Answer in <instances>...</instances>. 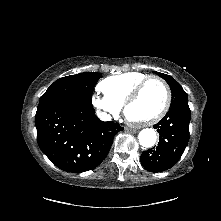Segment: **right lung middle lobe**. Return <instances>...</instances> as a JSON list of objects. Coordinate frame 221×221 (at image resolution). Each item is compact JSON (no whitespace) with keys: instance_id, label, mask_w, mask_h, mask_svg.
I'll return each mask as SVG.
<instances>
[{"instance_id":"dd1d6c3e","label":"right lung middle lobe","mask_w":221,"mask_h":221,"mask_svg":"<svg viewBox=\"0 0 221 221\" xmlns=\"http://www.w3.org/2000/svg\"><path fill=\"white\" fill-rule=\"evenodd\" d=\"M101 77L100 73L85 72L56 80L41 96L37 112L61 101L91 104L92 91Z\"/></svg>"}]
</instances>
